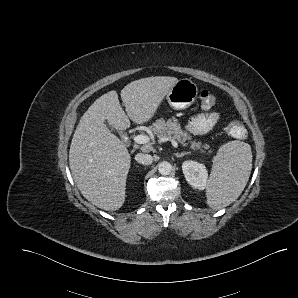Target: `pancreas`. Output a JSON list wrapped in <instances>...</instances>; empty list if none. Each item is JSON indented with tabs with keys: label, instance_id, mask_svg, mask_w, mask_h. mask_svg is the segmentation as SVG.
<instances>
[{
	"label": "pancreas",
	"instance_id": "cf45deb5",
	"mask_svg": "<svg viewBox=\"0 0 298 298\" xmlns=\"http://www.w3.org/2000/svg\"><path fill=\"white\" fill-rule=\"evenodd\" d=\"M150 129L158 138L171 137L183 146L189 144L192 150H199L201 153H212L209 144L193 140L192 136L182 129L181 124L175 117L167 120L159 118L152 124Z\"/></svg>",
	"mask_w": 298,
	"mask_h": 298
}]
</instances>
